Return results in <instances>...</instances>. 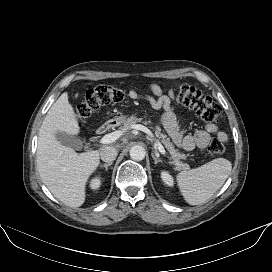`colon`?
Returning a JSON list of instances; mask_svg holds the SVG:
<instances>
[{"instance_id":"5ec220e1","label":"colon","mask_w":272,"mask_h":272,"mask_svg":"<svg viewBox=\"0 0 272 272\" xmlns=\"http://www.w3.org/2000/svg\"><path fill=\"white\" fill-rule=\"evenodd\" d=\"M124 96V91L117 85L97 86L86 92L84 99L77 106V116L81 119L88 117L101 107L122 101ZM176 97L180 103L205 120H216L221 117L219 105L191 85L186 83L178 85ZM207 150L210 157H216L224 152V145L220 140L213 139Z\"/></svg>"}]
</instances>
